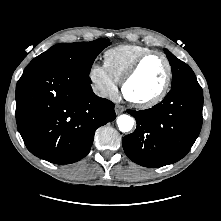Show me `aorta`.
<instances>
[{
    "label": "aorta",
    "mask_w": 221,
    "mask_h": 221,
    "mask_svg": "<svg viewBox=\"0 0 221 221\" xmlns=\"http://www.w3.org/2000/svg\"><path fill=\"white\" fill-rule=\"evenodd\" d=\"M117 125L121 132H129L132 130L134 125V119L126 114L120 115L117 118Z\"/></svg>",
    "instance_id": "762f6f07"
}]
</instances>
